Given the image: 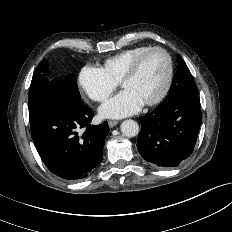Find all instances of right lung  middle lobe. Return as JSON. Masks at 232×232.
Wrapping results in <instances>:
<instances>
[{
    "mask_svg": "<svg viewBox=\"0 0 232 232\" xmlns=\"http://www.w3.org/2000/svg\"><path fill=\"white\" fill-rule=\"evenodd\" d=\"M47 75L48 63L46 60H43L33 74L28 94L30 125L34 124L44 111V101L52 93L54 86L57 84L63 85L75 99L81 101L74 75L68 76L65 80H49Z\"/></svg>",
    "mask_w": 232,
    "mask_h": 232,
    "instance_id": "dd1d6c3e",
    "label": "right lung middle lobe"
}]
</instances>
